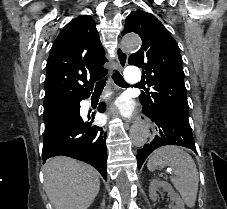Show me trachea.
<instances>
[{
	"label": "trachea",
	"instance_id": "obj_1",
	"mask_svg": "<svg viewBox=\"0 0 227 209\" xmlns=\"http://www.w3.org/2000/svg\"><path fill=\"white\" fill-rule=\"evenodd\" d=\"M112 77H113V80L115 81V84L119 85V87H128V84L125 82L122 75L118 71H115ZM105 84H106L105 80H101L100 82H97L94 92H101L104 89Z\"/></svg>",
	"mask_w": 227,
	"mask_h": 209
}]
</instances>
